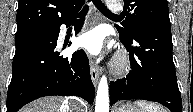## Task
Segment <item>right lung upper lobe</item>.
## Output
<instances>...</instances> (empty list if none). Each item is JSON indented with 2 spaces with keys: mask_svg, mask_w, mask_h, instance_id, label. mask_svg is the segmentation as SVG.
I'll return each mask as SVG.
<instances>
[{
  "mask_svg": "<svg viewBox=\"0 0 193 112\" xmlns=\"http://www.w3.org/2000/svg\"><path fill=\"white\" fill-rule=\"evenodd\" d=\"M84 0H19L17 32L51 27L78 12Z\"/></svg>",
  "mask_w": 193,
  "mask_h": 112,
  "instance_id": "obj_1",
  "label": "right lung upper lobe"
}]
</instances>
